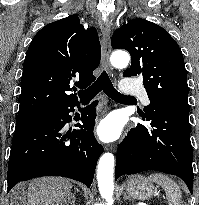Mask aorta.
Wrapping results in <instances>:
<instances>
[{"label": "aorta", "mask_w": 199, "mask_h": 205, "mask_svg": "<svg viewBox=\"0 0 199 205\" xmlns=\"http://www.w3.org/2000/svg\"><path fill=\"white\" fill-rule=\"evenodd\" d=\"M130 56L125 51H115L111 55V64L117 68H126L129 64ZM114 163L115 158L112 153L103 154L98 163L97 181L101 197L106 201L107 205L113 204L114 191Z\"/></svg>", "instance_id": "obj_1"}]
</instances>
